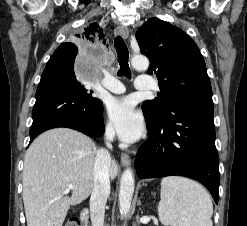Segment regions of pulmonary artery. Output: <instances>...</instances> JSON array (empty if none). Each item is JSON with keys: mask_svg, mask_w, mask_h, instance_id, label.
Returning a JSON list of instances; mask_svg holds the SVG:
<instances>
[{"mask_svg": "<svg viewBox=\"0 0 247 226\" xmlns=\"http://www.w3.org/2000/svg\"><path fill=\"white\" fill-rule=\"evenodd\" d=\"M103 86L115 94H122L126 90L123 83L112 76H106ZM135 88L138 90H151L154 88V83L149 76L141 75L136 79Z\"/></svg>", "mask_w": 247, "mask_h": 226, "instance_id": "1", "label": "pulmonary artery"}]
</instances>
